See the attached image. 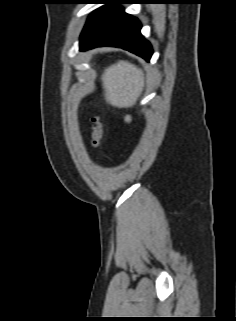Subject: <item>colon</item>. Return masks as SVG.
<instances>
[{
    "mask_svg": "<svg viewBox=\"0 0 236 321\" xmlns=\"http://www.w3.org/2000/svg\"><path fill=\"white\" fill-rule=\"evenodd\" d=\"M91 129L92 147L94 150H97L101 146L104 136V126L101 119L98 116H94L91 118Z\"/></svg>",
    "mask_w": 236,
    "mask_h": 321,
    "instance_id": "5ec220e1",
    "label": "colon"
}]
</instances>
